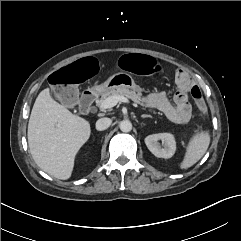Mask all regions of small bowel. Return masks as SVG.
<instances>
[{
  "instance_id": "c3829d8e",
  "label": "small bowel",
  "mask_w": 241,
  "mask_h": 241,
  "mask_svg": "<svg viewBox=\"0 0 241 241\" xmlns=\"http://www.w3.org/2000/svg\"><path fill=\"white\" fill-rule=\"evenodd\" d=\"M175 79L178 89L172 100L166 92L159 91L148 94L143 102L146 106L163 112L171 121L177 124H186L192 114L189 93L192 95V90L199 88L185 70H177Z\"/></svg>"
}]
</instances>
